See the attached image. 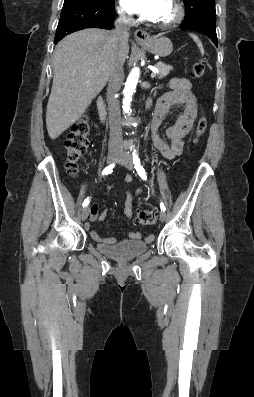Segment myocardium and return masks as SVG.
<instances>
[{"instance_id":"f54148a6","label":"myocardium","mask_w":254,"mask_h":397,"mask_svg":"<svg viewBox=\"0 0 254 397\" xmlns=\"http://www.w3.org/2000/svg\"><path fill=\"white\" fill-rule=\"evenodd\" d=\"M172 4L174 6V11H175L173 18L167 22H162V23L156 22L154 25L157 28L170 29V28H173V27H176L177 25H179L181 23V21L183 20L184 9L181 6V4L179 2H177V0H172Z\"/></svg>"}]
</instances>
